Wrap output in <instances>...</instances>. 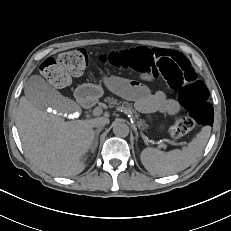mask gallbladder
I'll return each instance as SVG.
<instances>
[{"label":"gallbladder","mask_w":231,"mask_h":231,"mask_svg":"<svg viewBox=\"0 0 231 231\" xmlns=\"http://www.w3.org/2000/svg\"><path fill=\"white\" fill-rule=\"evenodd\" d=\"M24 91L26 98L41 110H46L50 107L57 111H66V105L69 103L66 97L37 75L29 78Z\"/></svg>","instance_id":"bac80fb5"}]
</instances>
